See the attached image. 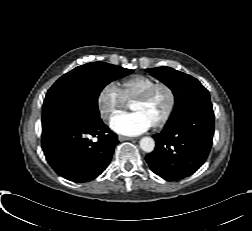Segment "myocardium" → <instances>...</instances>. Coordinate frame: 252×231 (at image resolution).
<instances>
[{
    "label": "myocardium",
    "instance_id": "myocardium-1",
    "mask_svg": "<svg viewBox=\"0 0 252 231\" xmlns=\"http://www.w3.org/2000/svg\"><path fill=\"white\" fill-rule=\"evenodd\" d=\"M161 88L167 91L168 97H169V104L164 115L157 122L153 124L154 128L163 127L169 122V120L173 116L176 109V105H177V97H176V93L174 89L167 83L157 82L154 85H152L150 88H148L145 92H143L141 95H139L138 97L134 99V101L148 102L152 98L154 93L158 89H161Z\"/></svg>",
    "mask_w": 252,
    "mask_h": 231
}]
</instances>
